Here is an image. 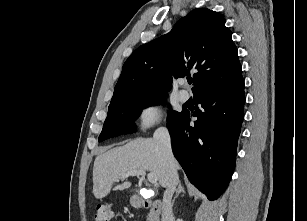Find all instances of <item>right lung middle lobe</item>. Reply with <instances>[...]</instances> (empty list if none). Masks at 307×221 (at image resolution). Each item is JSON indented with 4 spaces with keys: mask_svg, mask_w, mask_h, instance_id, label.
<instances>
[{
    "mask_svg": "<svg viewBox=\"0 0 307 221\" xmlns=\"http://www.w3.org/2000/svg\"><path fill=\"white\" fill-rule=\"evenodd\" d=\"M165 102V93H144L127 96L110 104L98 141L101 142L121 134L133 133L135 131L134 122L141 114L142 109ZM179 114L180 112L170 110L167 121H172Z\"/></svg>",
    "mask_w": 307,
    "mask_h": 221,
    "instance_id": "dd1d6c3e",
    "label": "right lung middle lobe"
}]
</instances>
